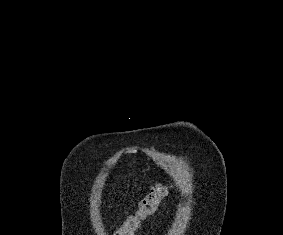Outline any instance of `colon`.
Wrapping results in <instances>:
<instances>
[{
    "label": "colon",
    "instance_id": "obj_1",
    "mask_svg": "<svg viewBox=\"0 0 283 235\" xmlns=\"http://www.w3.org/2000/svg\"><path fill=\"white\" fill-rule=\"evenodd\" d=\"M168 188L165 184H157L151 192L140 202L139 208L134 216L135 220L150 214L156 205L162 200V198L167 194Z\"/></svg>",
    "mask_w": 283,
    "mask_h": 235
}]
</instances>
